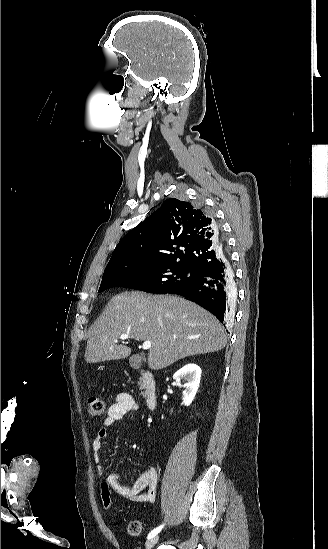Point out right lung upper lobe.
I'll list each match as a JSON object with an SVG mask.
<instances>
[{"label":"right lung upper lobe","instance_id":"obj_1","mask_svg":"<svg viewBox=\"0 0 328 549\" xmlns=\"http://www.w3.org/2000/svg\"><path fill=\"white\" fill-rule=\"evenodd\" d=\"M226 256L215 219L189 202L170 198L124 236L105 271L128 260L176 264L201 271Z\"/></svg>","mask_w":328,"mask_h":549}]
</instances>
